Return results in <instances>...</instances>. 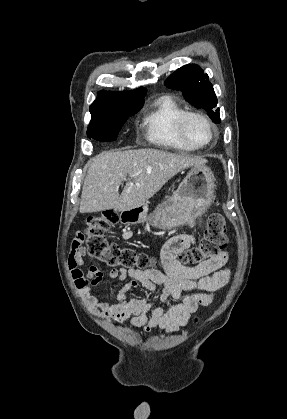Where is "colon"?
Wrapping results in <instances>:
<instances>
[{
    "label": "colon",
    "instance_id": "1",
    "mask_svg": "<svg viewBox=\"0 0 287 419\" xmlns=\"http://www.w3.org/2000/svg\"><path fill=\"white\" fill-rule=\"evenodd\" d=\"M118 222V214L113 210H105L88 219L87 227L77 234L76 238L84 243L87 254L99 259L111 267L124 269H155L156 263L144 253L110 243L106 234ZM228 245L226 223L223 216L213 213L208 217L204 235L199 243L179 256L184 265L198 266L218 256ZM165 265V262H163ZM196 321V320H195Z\"/></svg>",
    "mask_w": 287,
    "mask_h": 419
}]
</instances>
